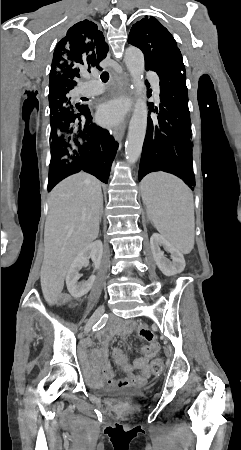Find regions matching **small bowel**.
Listing matches in <instances>:
<instances>
[{"instance_id":"1","label":"small bowel","mask_w":241,"mask_h":450,"mask_svg":"<svg viewBox=\"0 0 241 450\" xmlns=\"http://www.w3.org/2000/svg\"><path fill=\"white\" fill-rule=\"evenodd\" d=\"M135 333L147 344L139 348V358L132 363L122 348L115 347L112 350V359L123 372L125 377H116L108 360V347L113 336L126 337ZM96 338L101 343L100 348L92 350V356H83V368L88 370L89 382L92 386L99 388L121 389L131 386L145 385L151 376L150 362L155 358L160 350V344L156 340L151 329L146 325L138 323L134 320H120L116 323L99 330ZM93 345L91 339H85L82 342V348L86 349ZM134 371H139L135 374Z\"/></svg>"}]
</instances>
